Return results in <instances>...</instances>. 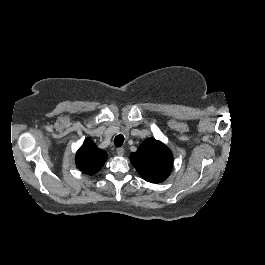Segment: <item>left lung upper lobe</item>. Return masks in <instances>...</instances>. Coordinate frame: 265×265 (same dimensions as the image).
<instances>
[{
	"mask_svg": "<svg viewBox=\"0 0 265 265\" xmlns=\"http://www.w3.org/2000/svg\"><path fill=\"white\" fill-rule=\"evenodd\" d=\"M130 160L142 178L153 183L166 180L173 166L169 148L153 138L145 140L136 152L131 153Z\"/></svg>",
	"mask_w": 265,
	"mask_h": 265,
	"instance_id": "5c2ea615",
	"label": "left lung upper lobe"
}]
</instances>
